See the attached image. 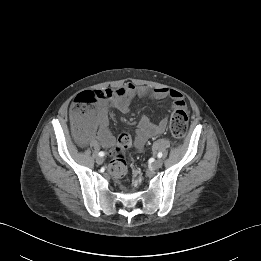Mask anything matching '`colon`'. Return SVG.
Returning <instances> with one entry per match:
<instances>
[{
	"label": "colon",
	"instance_id": "5ec220e1",
	"mask_svg": "<svg viewBox=\"0 0 261 261\" xmlns=\"http://www.w3.org/2000/svg\"><path fill=\"white\" fill-rule=\"evenodd\" d=\"M72 117L75 123L81 124L85 115H90L93 111L91 103L86 99L84 94H80L71 106ZM188 129V115L185 110L180 109L173 113L170 119L171 134L182 139ZM132 146V138L128 134H121L116 144L111 148L109 155L112 158L110 171L115 176H122L127 170V162L122 153L130 149Z\"/></svg>",
	"mask_w": 261,
	"mask_h": 261
}]
</instances>
